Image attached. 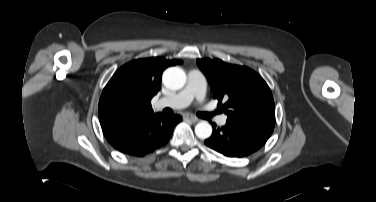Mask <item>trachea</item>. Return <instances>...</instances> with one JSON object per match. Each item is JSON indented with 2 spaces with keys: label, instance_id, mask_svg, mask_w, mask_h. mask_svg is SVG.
<instances>
[{
  "label": "trachea",
  "instance_id": "obj_1",
  "mask_svg": "<svg viewBox=\"0 0 376 202\" xmlns=\"http://www.w3.org/2000/svg\"><path fill=\"white\" fill-rule=\"evenodd\" d=\"M217 113V111L216 112H214V113H203V117H205V118H207V119H210L214 114H216Z\"/></svg>",
  "mask_w": 376,
  "mask_h": 202
}]
</instances>
